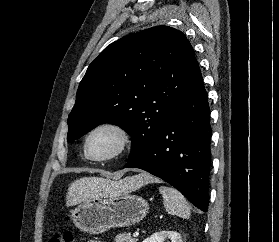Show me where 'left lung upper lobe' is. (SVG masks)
Masks as SVG:
<instances>
[{"mask_svg":"<svg viewBox=\"0 0 279 242\" xmlns=\"http://www.w3.org/2000/svg\"><path fill=\"white\" fill-rule=\"evenodd\" d=\"M197 63L186 36L172 27H152L113 42L80 82L67 141L114 123L133 138L129 160L138 157L162 131Z\"/></svg>","mask_w":279,"mask_h":242,"instance_id":"5c2ea615","label":"left lung upper lobe"}]
</instances>
